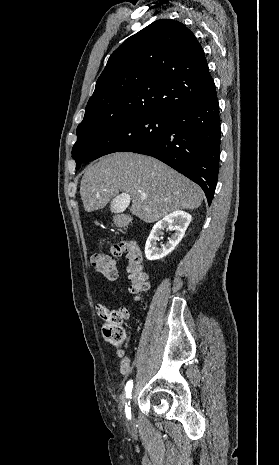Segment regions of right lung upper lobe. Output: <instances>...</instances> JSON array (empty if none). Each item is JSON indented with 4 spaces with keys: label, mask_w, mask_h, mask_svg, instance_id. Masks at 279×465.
<instances>
[{
    "label": "right lung upper lobe",
    "mask_w": 279,
    "mask_h": 465,
    "mask_svg": "<svg viewBox=\"0 0 279 465\" xmlns=\"http://www.w3.org/2000/svg\"><path fill=\"white\" fill-rule=\"evenodd\" d=\"M212 83L194 34L178 21L157 20L111 54L77 130L140 113L169 114L203 98Z\"/></svg>",
    "instance_id": "right-lung-upper-lobe-1"
}]
</instances>
